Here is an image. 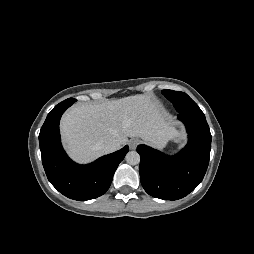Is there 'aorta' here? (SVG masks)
<instances>
[{
  "instance_id": "aorta-1",
  "label": "aorta",
  "mask_w": 254,
  "mask_h": 254,
  "mask_svg": "<svg viewBox=\"0 0 254 254\" xmlns=\"http://www.w3.org/2000/svg\"><path fill=\"white\" fill-rule=\"evenodd\" d=\"M126 162L130 165H137L140 162V155L137 151H129L126 154Z\"/></svg>"
}]
</instances>
